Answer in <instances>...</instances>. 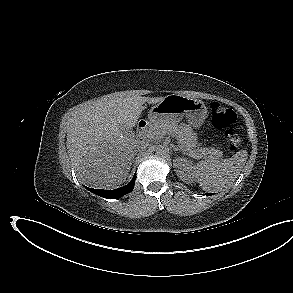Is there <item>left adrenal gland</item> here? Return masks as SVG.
Masks as SVG:
<instances>
[{
    "label": "left adrenal gland",
    "instance_id": "a2214340",
    "mask_svg": "<svg viewBox=\"0 0 293 293\" xmlns=\"http://www.w3.org/2000/svg\"><path fill=\"white\" fill-rule=\"evenodd\" d=\"M173 150H174V151H178V150H180V148L174 146V147H173Z\"/></svg>",
    "mask_w": 293,
    "mask_h": 293
}]
</instances>
